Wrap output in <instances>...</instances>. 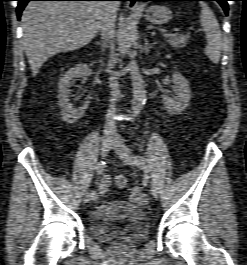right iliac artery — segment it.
<instances>
[{"mask_svg": "<svg viewBox=\"0 0 247 265\" xmlns=\"http://www.w3.org/2000/svg\"><path fill=\"white\" fill-rule=\"evenodd\" d=\"M104 167H105V163L103 161L99 162L96 166V173L98 175H101L103 170H104ZM89 197L91 198V200L93 202H97L98 201V195L96 192L92 191L91 193H88Z\"/></svg>", "mask_w": 247, "mask_h": 265, "instance_id": "1", "label": "right iliac artery"}]
</instances>
